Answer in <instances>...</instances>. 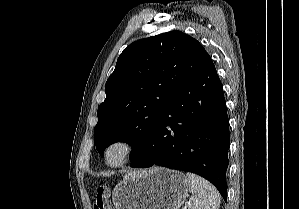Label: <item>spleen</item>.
<instances>
[{"label": "spleen", "instance_id": "3e777b00", "mask_svg": "<svg viewBox=\"0 0 299 209\" xmlns=\"http://www.w3.org/2000/svg\"><path fill=\"white\" fill-rule=\"evenodd\" d=\"M186 178L193 194L188 209H219L220 195L210 182L190 172Z\"/></svg>", "mask_w": 299, "mask_h": 209}]
</instances>
